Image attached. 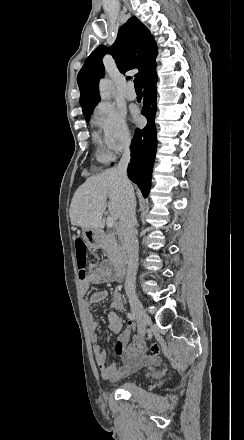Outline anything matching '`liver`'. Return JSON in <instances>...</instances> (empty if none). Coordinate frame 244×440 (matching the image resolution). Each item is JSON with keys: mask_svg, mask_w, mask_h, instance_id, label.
I'll list each match as a JSON object with an SVG mask.
<instances>
[{"mask_svg": "<svg viewBox=\"0 0 244 440\" xmlns=\"http://www.w3.org/2000/svg\"><path fill=\"white\" fill-rule=\"evenodd\" d=\"M123 196L116 168H109L99 176L87 178L72 198L69 210L72 226L100 228L106 208H109L111 218L118 220Z\"/></svg>", "mask_w": 244, "mask_h": 440, "instance_id": "6515ba94", "label": "liver"}]
</instances>
